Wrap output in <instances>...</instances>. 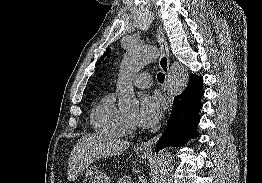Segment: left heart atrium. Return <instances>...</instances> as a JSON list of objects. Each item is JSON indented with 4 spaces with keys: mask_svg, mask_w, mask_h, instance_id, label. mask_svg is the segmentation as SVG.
Listing matches in <instances>:
<instances>
[{
    "mask_svg": "<svg viewBox=\"0 0 262 183\" xmlns=\"http://www.w3.org/2000/svg\"><path fill=\"white\" fill-rule=\"evenodd\" d=\"M161 116V102L155 95L145 94L140 99V109L136 117L142 128L154 127Z\"/></svg>",
    "mask_w": 262,
    "mask_h": 183,
    "instance_id": "1",
    "label": "left heart atrium"
}]
</instances>
